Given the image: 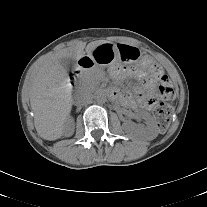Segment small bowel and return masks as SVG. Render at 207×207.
<instances>
[{"label":"small bowel","mask_w":207,"mask_h":207,"mask_svg":"<svg viewBox=\"0 0 207 207\" xmlns=\"http://www.w3.org/2000/svg\"><path fill=\"white\" fill-rule=\"evenodd\" d=\"M153 63L146 61L145 65L151 66ZM128 75H134L141 82V86L136 90L135 96L129 93H119L118 97L124 104L129 107H136L137 105L150 110L154 106L153 91L156 81L160 79L163 74L162 71L159 75L154 76L150 71H145L143 68H132V69H114L112 76L115 80H121Z\"/></svg>","instance_id":"1"}]
</instances>
